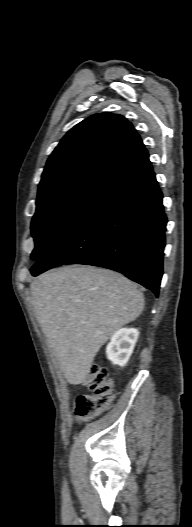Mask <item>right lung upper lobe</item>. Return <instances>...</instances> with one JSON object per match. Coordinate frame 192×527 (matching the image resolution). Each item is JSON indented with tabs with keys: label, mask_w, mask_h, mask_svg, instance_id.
<instances>
[{
	"label": "right lung upper lobe",
	"mask_w": 192,
	"mask_h": 527,
	"mask_svg": "<svg viewBox=\"0 0 192 527\" xmlns=\"http://www.w3.org/2000/svg\"><path fill=\"white\" fill-rule=\"evenodd\" d=\"M145 149L126 118L104 112L73 127L48 158L38 193L84 177L109 181Z\"/></svg>",
	"instance_id": "right-lung-upper-lobe-1"
}]
</instances>
